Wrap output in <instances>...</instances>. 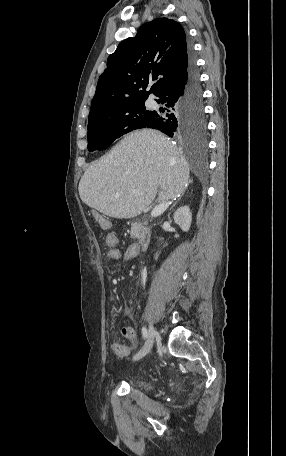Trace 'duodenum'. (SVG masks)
Instances as JSON below:
<instances>
[{"instance_id":"410a0bca","label":"duodenum","mask_w":286,"mask_h":456,"mask_svg":"<svg viewBox=\"0 0 286 456\" xmlns=\"http://www.w3.org/2000/svg\"><path fill=\"white\" fill-rule=\"evenodd\" d=\"M137 231H138V245L141 249H145L146 247L149 246L152 235H151V229L146 223H138L137 225Z\"/></svg>"}]
</instances>
